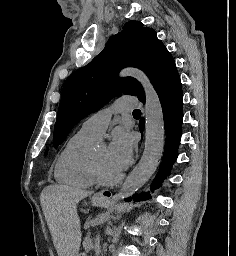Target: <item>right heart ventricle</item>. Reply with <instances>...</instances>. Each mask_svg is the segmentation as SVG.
Listing matches in <instances>:
<instances>
[{
    "label": "right heart ventricle",
    "instance_id": "e07e8e85",
    "mask_svg": "<svg viewBox=\"0 0 236 256\" xmlns=\"http://www.w3.org/2000/svg\"><path fill=\"white\" fill-rule=\"evenodd\" d=\"M94 140L82 132H77L68 141L55 164V180L75 188L87 189L95 184L90 157L86 147Z\"/></svg>",
    "mask_w": 236,
    "mask_h": 256
}]
</instances>
